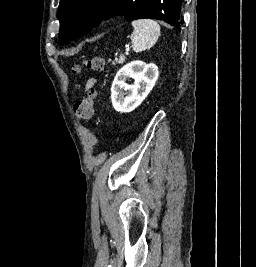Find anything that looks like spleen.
<instances>
[{
	"instance_id": "3e777b00",
	"label": "spleen",
	"mask_w": 256,
	"mask_h": 267,
	"mask_svg": "<svg viewBox=\"0 0 256 267\" xmlns=\"http://www.w3.org/2000/svg\"><path fill=\"white\" fill-rule=\"evenodd\" d=\"M130 40L134 52H144L155 46L160 36V26L155 20H134Z\"/></svg>"
}]
</instances>
